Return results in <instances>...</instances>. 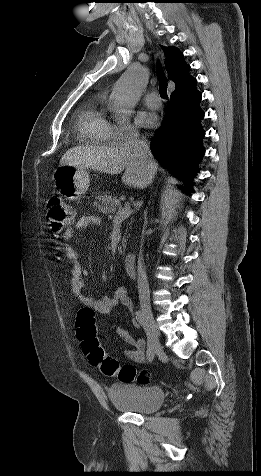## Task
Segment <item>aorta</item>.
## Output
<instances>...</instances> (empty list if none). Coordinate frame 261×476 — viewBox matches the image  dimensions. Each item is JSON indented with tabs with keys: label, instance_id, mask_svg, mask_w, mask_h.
<instances>
[{
	"label": "aorta",
	"instance_id": "762f6f07",
	"mask_svg": "<svg viewBox=\"0 0 261 476\" xmlns=\"http://www.w3.org/2000/svg\"><path fill=\"white\" fill-rule=\"evenodd\" d=\"M143 78L144 73L141 68H131L115 85L111 98L112 110L117 119H125L134 112Z\"/></svg>",
	"mask_w": 261,
	"mask_h": 476
}]
</instances>
